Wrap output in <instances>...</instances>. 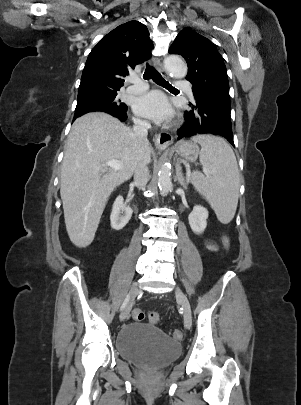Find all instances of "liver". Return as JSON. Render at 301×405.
Returning <instances> with one entry per match:
<instances>
[{
	"instance_id": "1",
	"label": "liver",
	"mask_w": 301,
	"mask_h": 405,
	"mask_svg": "<svg viewBox=\"0 0 301 405\" xmlns=\"http://www.w3.org/2000/svg\"><path fill=\"white\" fill-rule=\"evenodd\" d=\"M152 146L106 113L94 112L75 120L61 167L60 195L66 230L78 247L95 237L110 194L129 180L139 161H151ZM118 160L122 169L105 172L103 164Z\"/></svg>"
}]
</instances>
